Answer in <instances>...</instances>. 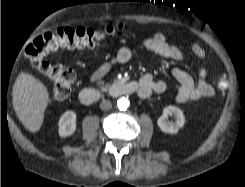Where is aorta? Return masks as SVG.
<instances>
[{
  "mask_svg": "<svg viewBox=\"0 0 245 187\" xmlns=\"http://www.w3.org/2000/svg\"><path fill=\"white\" fill-rule=\"evenodd\" d=\"M129 104H130L129 100L125 97H122L117 100V107L121 111L126 110L129 107Z\"/></svg>",
  "mask_w": 245,
  "mask_h": 187,
  "instance_id": "762f6f07",
  "label": "aorta"
}]
</instances>
